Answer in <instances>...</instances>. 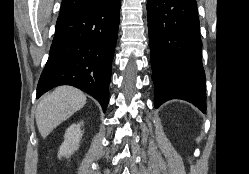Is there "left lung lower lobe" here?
Wrapping results in <instances>:
<instances>
[{"mask_svg": "<svg viewBox=\"0 0 249 174\" xmlns=\"http://www.w3.org/2000/svg\"><path fill=\"white\" fill-rule=\"evenodd\" d=\"M155 107L183 99L206 111L196 0H147Z\"/></svg>", "mask_w": 249, "mask_h": 174, "instance_id": "obj_1", "label": "left lung lower lobe"}]
</instances>
